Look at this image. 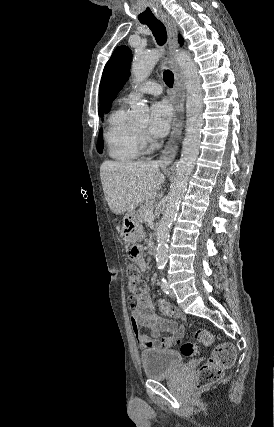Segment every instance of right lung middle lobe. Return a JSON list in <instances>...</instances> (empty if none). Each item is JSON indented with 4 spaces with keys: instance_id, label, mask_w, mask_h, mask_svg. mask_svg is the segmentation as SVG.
Wrapping results in <instances>:
<instances>
[{
    "instance_id": "1",
    "label": "right lung middle lobe",
    "mask_w": 274,
    "mask_h": 427,
    "mask_svg": "<svg viewBox=\"0 0 274 427\" xmlns=\"http://www.w3.org/2000/svg\"><path fill=\"white\" fill-rule=\"evenodd\" d=\"M100 116H102V115H100ZM97 151H98L99 153H102V151H103V137H102V130H100V132H99V136H98Z\"/></svg>"
}]
</instances>
